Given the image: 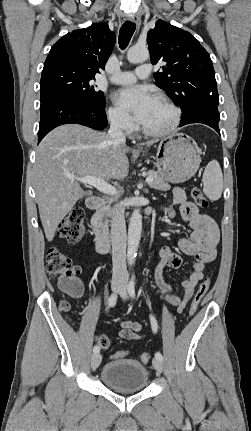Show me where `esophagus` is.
Listing matches in <instances>:
<instances>
[{
    "label": "esophagus",
    "mask_w": 251,
    "mask_h": 431,
    "mask_svg": "<svg viewBox=\"0 0 251 431\" xmlns=\"http://www.w3.org/2000/svg\"><path fill=\"white\" fill-rule=\"evenodd\" d=\"M129 20H130L131 22L135 23V24L137 25V27H140L141 20H140V18H139L138 16H135V15L130 16V17H129Z\"/></svg>",
    "instance_id": "34e87169"
}]
</instances>
